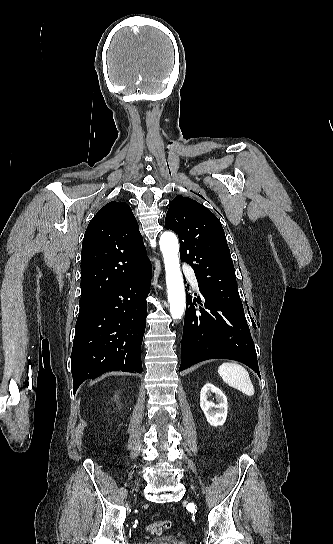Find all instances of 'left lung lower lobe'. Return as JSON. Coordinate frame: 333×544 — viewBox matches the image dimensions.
<instances>
[{"mask_svg":"<svg viewBox=\"0 0 333 544\" xmlns=\"http://www.w3.org/2000/svg\"><path fill=\"white\" fill-rule=\"evenodd\" d=\"M199 289L203 302L200 297L193 301L187 297L179 371L207 359L223 358L246 364L260 377L245 314L215 299L202 287Z\"/></svg>","mask_w":333,"mask_h":544,"instance_id":"0a47b994","label":"left lung lower lobe"}]
</instances>
